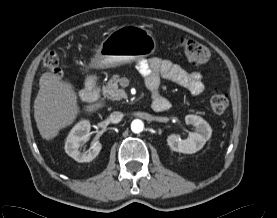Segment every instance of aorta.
Returning a JSON list of instances; mask_svg holds the SVG:
<instances>
[{"label": "aorta", "instance_id": "obj_1", "mask_svg": "<svg viewBox=\"0 0 277 218\" xmlns=\"http://www.w3.org/2000/svg\"><path fill=\"white\" fill-rule=\"evenodd\" d=\"M143 129H144V123L141 120L135 119L132 121V123H131L132 132L140 133L143 131Z\"/></svg>", "mask_w": 277, "mask_h": 218}]
</instances>
